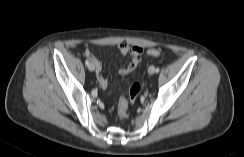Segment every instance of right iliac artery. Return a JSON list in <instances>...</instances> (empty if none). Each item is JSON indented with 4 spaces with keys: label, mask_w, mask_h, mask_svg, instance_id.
Instances as JSON below:
<instances>
[{
    "label": "right iliac artery",
    "mask_w": 244,
    "mask_h": 157,
    "mask_svg": "<svg viewBox=\"0 0 244 157\" xmlns=\"http://www.w3.org/2000/svg\"><path fill=\"white\" fill-rule=\"evenodd\" d=\"M85 64L88 66L90 63H89V60H85Z\"/></svg>",
    "instance_id": "82829eb1"
}]
</instances>
